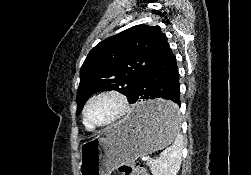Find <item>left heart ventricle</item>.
Listing matches in <instances>:
<instances>
[{
    "label": "left heart ventricle",
    "instance_id": "1",
    "mask_svg": "<svg viewBox=\"0 0 251 175\" xmlns=\"http://www.w3.org/2000/svg\"><path fill=\"white\" fill-rule=\"evenodd\" d=\"M122 112V104L115 95H103L92 101L88 109L91 125L103 126L115 121Z\"/></svg>",
    "mask_w": 251,
    "mask_h": 175
}]
</instances>
